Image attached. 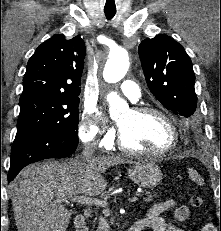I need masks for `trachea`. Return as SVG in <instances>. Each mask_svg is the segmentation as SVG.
<instances>
[{"label":"trachea","instance_id":"1","mask_svg":"<svg viewBox=\"0 0 221 231\" xmlns=\"http://www.w3.org/2000/svg\"><path fill=\"white\" fill-rule=\"evenodd\" d=\"M104 13H105L107 19H112L115 16L116 11L105 10Z\"/></svg>","mask_w":221,"mask_h":231}]
</instances>
